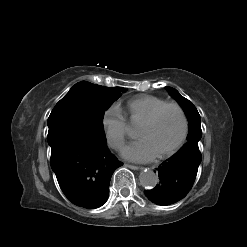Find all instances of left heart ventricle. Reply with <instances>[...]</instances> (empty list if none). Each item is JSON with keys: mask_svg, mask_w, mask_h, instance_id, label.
Listing matches in <instances>:
<instances>
[{"mask_svg": "<svg viewBox=\"0 0 247 247\" xmlns=\"http://www.w3.org/2000/svg\"><path fill=\"white\" fill-rule=\"evenodd\" d=\"M182 121L175 109L165 110L151 126H140L137 137L145 139L154 149L156 155L169 149L179 138Z\"/></svg>", "mask_w": 247, "mask_h": 247, "instance_id": "obj_1", "label": "left heart ventricle"}]
</instances>
